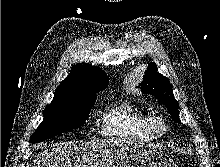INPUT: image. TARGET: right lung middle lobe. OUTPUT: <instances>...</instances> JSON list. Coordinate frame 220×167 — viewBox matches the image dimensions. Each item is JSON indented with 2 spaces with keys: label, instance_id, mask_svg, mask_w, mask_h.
<instances>
[{
  "label": "right lung middle lobe",
  "instance_id": "dd1d6c3e",
  "mask_svg": "<svg viewBox=\"0 0 220 167\" xmlns=\"http://www.w3.org/2000/svg\"><path fill=\"white\" fill-rule=\"evenodd\" d=\"M96 96H76L53 100L44 110V119L30 138L37 143L83 125Z\"/></svg>",
  "mask_w": 220,
  "mask_h": 167
}]
</instances>
